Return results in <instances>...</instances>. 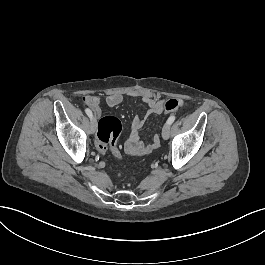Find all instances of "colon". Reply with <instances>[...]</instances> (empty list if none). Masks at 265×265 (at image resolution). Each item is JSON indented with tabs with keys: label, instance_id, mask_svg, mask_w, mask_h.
I'll return each mask as SVG.
<instances>
[{
	"label": "colon",
	"instance_id": "obj_1",
	"mask_svg": "<svg viewBox=\"0 0 265 265\" xmlns=\"http://www.w3.org/2000/svg\"><path fill=\"white\" fill-rule=\"evenodd\" d=\"M164 113L167 116L172 115L173 111L180 109L177 98L170 96L164 103ZM181 110V109H180ZM122 132L121 121L113 115H106L99 120L96 136V147L100 152H105L108 147H114L118 144L119 136Z\"/></svg>",
	"mask_w": 265,
	"mask_h": 265
}]
</instances>
